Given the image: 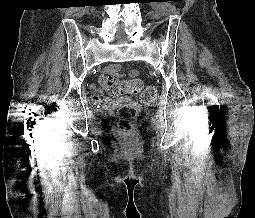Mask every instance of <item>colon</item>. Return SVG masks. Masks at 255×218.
<instances>
[{
	"label": "colon",
	"mask_w": 255,
	"mask_h": 218,
	"mask_svg": "<svg viewBox=\"0 0 255 218\" xmlns=\"http://www.w3.org/2000/svg\"><path fill=\"white\" fill-rule=\"evenodd\" d=\"M101 84L113 96L132 95L141 92V101L145 104L154 102L157 97V90L154 87L143 89L142 82L139 79L119 80L103 75ZM139 111V104L133 100H127L120 106L117 116L119 128L122 132H129L133 128Z\"/></svg>",
	"instance_id": "colon-1"
}]
</instances>
